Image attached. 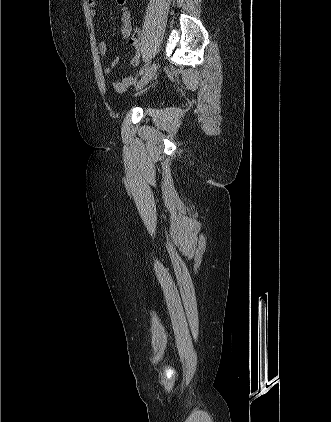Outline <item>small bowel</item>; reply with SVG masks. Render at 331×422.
I'll use <instances>...</instances> for the list:
<instances>
[{
    "label": "small bowel",
    "mask_w": 331,
    "mask_h": 422,
    "mask_svg": "<svg viewBox=\"0 0 331 422\" xmlns=\"http://www.w3.org/2000/svg\"><path fill=\"white\" fill-rule=\"evenodd\" d=\"M118 8L120 9L122 16V26H121V34L123 37L127 38L129 43L137 50V53L132 57L131 63L133 65H137L140 61V39L141 33L139 30H135L133 32V28L131 25V11L127 6V0H115ZM88 5L90 7V15L91 17L95 18L98 15V11L96 9V0H88ZM98 51L101 56H105L108 53V45L104 41L98 42ZM119 58H114L108 65L104 67V73L110 74L113 69L118 65ZM135 82V77L132 75H127L123 79L119 81H113L111 83L112 89L116 93H123L128 89L131 85Z\"/></svg>",
    "instance_id": "1"
}]
</instances>
